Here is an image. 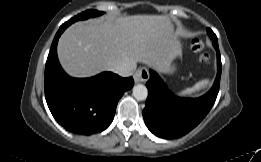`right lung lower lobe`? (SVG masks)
Instances as JSON below:
<instances>
[{"label": "right lung lower lobe", "instance_id": "1", "mask_svg": "<svg viewBox=\"0 0 261 162\" xmlns=\"http://www.w3.org/2000/svg\"><path fill=\"white\" fill-rule=\"evenodd\" d=\"M70 24L71 20L65 22L52 42L45 67V97L61 126L75 134L91 135L111 124L119 99L134 80L111 72L85 79L69 77L59 64L57 43Z\"/></svg>", "mask_w": 261, "mask_h": 162}]
</instances>
